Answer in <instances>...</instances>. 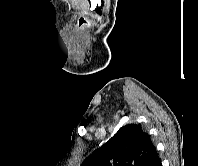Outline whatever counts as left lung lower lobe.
Masks as SVG:
<instances>
[{
	"label": "left lung lower lobe",
	"mask_w": 198,
	"mask_h": 166,
	"mask_svg": "<svg viewBox=\"0 0 198 166\" xmlns=\"http://www.w3.org/2000/svg\"><path fill=\"white\" fill-rule=\"evenodd\" d=\"M150 166H162V163L160 161V158H159L158 154L154 158V160L152 161V163L150 164Z\"/></svg>",
	"instance_id": "obj_1"
}]
</instances>
